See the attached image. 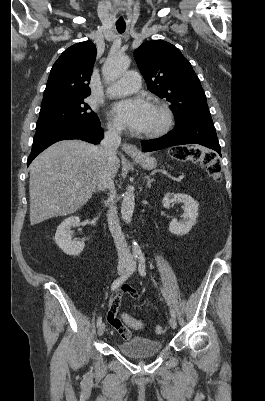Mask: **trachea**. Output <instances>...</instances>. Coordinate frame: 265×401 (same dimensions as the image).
I'll use <instances>...</instances> for the list:
<instances>
[{
  "label": "trachea",
  "instance_id": "trachea-1",
  "mask_svg": "<svg viewBox=\"0 0 265 401\" xmlns=\"http://www.w3.org/2000/svg\"><path fill=\"white\" fill-rule=\"evenodd\" d=\"M116 29L119 33H124L126 30L125 22H116Z\"/></svg>",
  "mask_w": 265,
  "mask_h": 401
}]
</instances>
